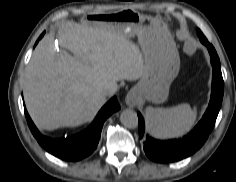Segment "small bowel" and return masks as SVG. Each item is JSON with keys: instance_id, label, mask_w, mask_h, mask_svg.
Returning a JSON list of instances; mask_svg holds the SVG:
<instances>
[{"instance_id": "obj_1", "label": "small bowel", "mask_w": 236, "mask_h": 182, "mask_svg": "<svg viewBox=\"0 0 236 182\" xmlns=\"http://www.w3.org/2000/svg\"><path fill=\"white\" fill-rule=\"evenodd\" d=\"M187 50H188V51H192V50H193V46H192L191 44H188V45H187Z\"/></svg>"}]
</instances>
